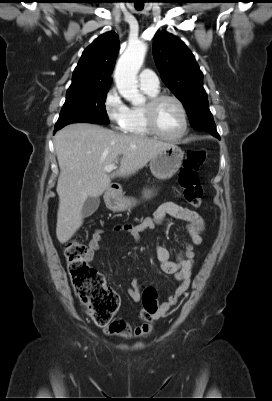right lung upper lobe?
I'll return each instance as SVG.
<instances>
[{"label":"right lung upper lobe","instance_id":"right-lung-upper-lobe-1","mask_svg":"<svg viewBox=\"0 0 272 401\" xmlns=\"http://www.w3.org/2000/svg\"><path fill=\"white\" fill-rule=\"evenodd\" d=\"M119 50V39L115 32L102 34L82 53L72 76L67 94L87 89L110 87L111 73Z\"/></svg>","mask_w":272,"mask_h":401}]
</instances>
